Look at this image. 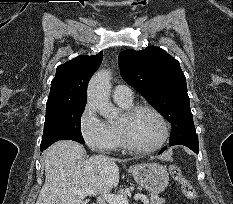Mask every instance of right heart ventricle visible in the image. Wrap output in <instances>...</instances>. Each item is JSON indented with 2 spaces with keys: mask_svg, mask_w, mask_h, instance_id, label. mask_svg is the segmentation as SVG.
Returning a JSON list of instances; mask_svg holds the SVG:
<instances>
[{
  "mask_svg": "<svg viewBox=\"0 0 233 204\" xmlns=\"http://www.w3.org/2000/svg\"><path fill=\"white\" fill-rule=\"evenodd\" d=\"M123 110H126L128 108H130L133 105V102H116ZM109 128L114 136V148H118L121 147L122 141H121V137L117 128V125L114 124H110Z\"/></svg>",
  "mask_w": 233,
  "mask_h": 204,
  "instance_id": "1",
  "label": "right heart ventricle"
}]
</instances>
